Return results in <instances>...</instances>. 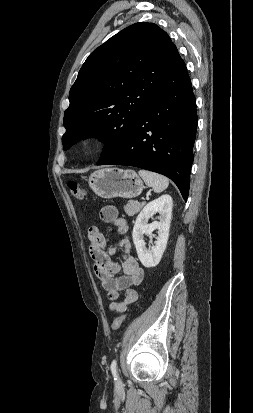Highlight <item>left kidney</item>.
<instances>
[{
  "mask_svg": "<svg viewBox=\"0 0 253 413\" xmlns=\"http://www.w3.org/2000/svg\"><path fill=\"white\" fill-rule=\"evenodd\" d=\"M172 198L170 195H162L149 202L138 215L134 224L132 237L136 247L138 258L146 268L155 267L159 264L166 249L172 216ZM155 213H159V222L148 224V219ZM158 229V237L154 246L146 248L144 234L152 237V232Z\"/></svg>",
  "mask_w": 253,
  "mask_h": 413,
  "instance_id": "obj_1",
  "label": "left kidney"
}]
</instances>
